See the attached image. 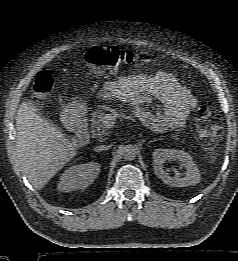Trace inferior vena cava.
<instances>
[{
    "label": "inferior vena cava",
    "mask_w": 238,
    "mask_h": 261,
    "mask_svg": "<svg viewBox=\"0 0 238 261\" xmlns=\"http://www.w3.org/2000/svg\"><path fill=\"white\" fill-rule=\"evenodd\" d=\"M110 146H106V145H100L94 148L95 151H104L109 149Z\"/></svg>",
    "instance_id": "1"
}]
</instances>
